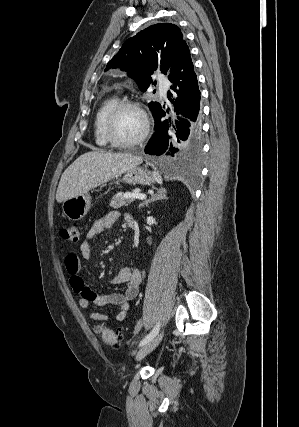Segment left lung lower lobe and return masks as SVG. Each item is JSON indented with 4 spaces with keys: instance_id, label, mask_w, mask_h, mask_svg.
Returning a JSON list of instances; mask_svg holds the SVG:
<instances>
[{
    "instance_id": "1",
    "label": "left lung lower lobe",
    "mask_w": 299,
    "mask_h": 427,
    "mask_svg": "<svg viewBox=\"0 0 299 427\" xmlns=\"http://www.w3.org/2000/svg\"><path fill=\"white\" fill-rule=\"evenodd\" d=\"M168 79L173 84L167 94L170 109L159 104L153 111L155 133L145 153L161 156L162 161L170 163L190 162L201 153L200 90L185 40L168 71ZM166 115L169 117L162 120Z\"/></svg>"
}]
</instances>
